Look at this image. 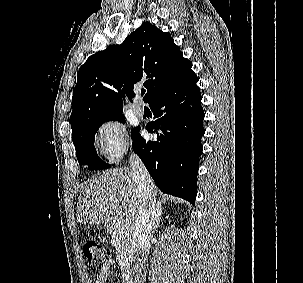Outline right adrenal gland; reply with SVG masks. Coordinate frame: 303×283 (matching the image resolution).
I'll return each mask as SVG.
<instances>
[{
  "instance_id": "obj_1",
  "label": "right adrenal gland",
  "mask_w": 303,
  "mask_h": 283,
  "mask_svg": "<svg viewBox=\"0 0 303 283\" xmlns=\"http://www.w3.org/2000/svg\"><path fill=\"white\" fill-rule=\"evenodd\" d=\"M162 215H163V210H162L161 207L158 206V211H157L156 218H155L154 229L159 227L161 219H163V218L168 219L169 218V215H166L165 217H163Z\"/></svg>"
}]
</instances>
